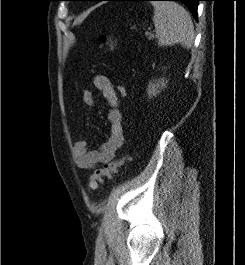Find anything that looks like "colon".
<instances>
[{
    "mask_svg": "<svg viewBox=\"0 0 245 265\" xmlns=\"http://www.w3.org/2000/svg\"><path fill=\"white\" fill-rule=\"evenodd\" d=\"M99 45L101 48H105L107 50H112L115 46V39L109 35H101L99 37ZM120 94L122 96L127 95V88L123 85L118 88ZM125 158H119L104 164L102 168L97 169L90 177L88 182V188L91 191H95L98 189L99 185L102 183L105 177H110L114 173H116L119 166L124 162Z\"/></svg>",
    "mask_w": 245,
    "mask_h": 265,
    "instance_id": "1",
    "label": "colon"
}]
</instances>
